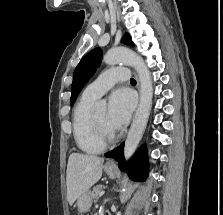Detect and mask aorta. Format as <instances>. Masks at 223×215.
Here are the masks:
<instances>
[{
	"label": "aorta",
	"instance_id": "1",
	"mask_svg": "<svg viewBox=\"0 0 223 215\" xmlns=\"http://www.w3.org/2000/svg\"><path fill=\"white\" fill-rule=\"evenodd\" d=\"M103 62L108 66H115V64H125V66H132L135 68L139 82H140V102L137 109L133 123L128 131L127 139L125 141L124 155L126 159L134 153L147 125L148 117L152 108L153 98V84L151 74L142 58L132 50L127 48H113L108 50L103 58ZM96 106L101 109L106 108V102L100 100L96 102ZM128 177H124L122 183L125 187L127 185Z\"/></svg>",
	"mask_w": 223,
	"mask_h": 215
}]
</instances>
